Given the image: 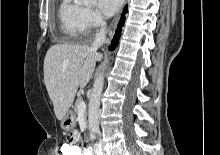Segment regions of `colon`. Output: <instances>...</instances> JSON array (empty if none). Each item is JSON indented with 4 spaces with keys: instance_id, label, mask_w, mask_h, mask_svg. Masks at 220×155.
Returning <instances> with one entry per match:
<instances>
[{
    "instance_id": "colon-1",
    "label": "colon",
    "mask_w": 220,
    "mask_h": 155,
    "mask_svg": "<svg viewBox=\"0 0 220 155\" xmlns=\"http://www.w3.org/2000/svg\"><path fill=\"white\" fill-rule=\"evenodd\" d=\"M68 139V136H67ZM75 145V144H70ZM81 147L77 146H62L61 147V155H80Z\"/></svg>"
}]
</instances>
